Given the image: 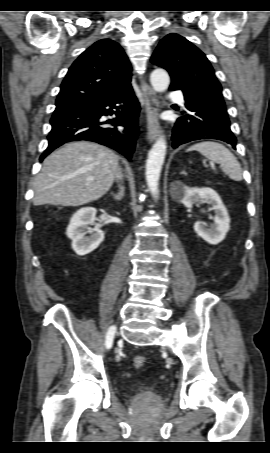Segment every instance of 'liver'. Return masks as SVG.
<instances>
[{"mask_svg":"<svg viewBox=\"0 0 270 453\" xmlns=\"http://www.w3.org/2000/svg\"><path fill=\"white\" fill-rule=\"evenodd\" d=\"M118 156L96 143L64 145L44 161L34 181L33 204L80 206L98 200L111 188Z\"/></svg>","mask_w":270,"mask_h":453,"instance_id":"6515ba94","label":"liver"}]
</instances>
